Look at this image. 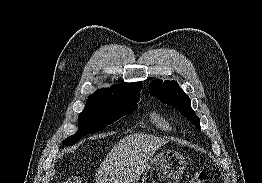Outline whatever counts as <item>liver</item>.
I'll return each instance as SVG.
<instances>
[{
	"label": "liver",
	"mask_w": 262,
	"mask_h": 183,
	"mask_svg": "<svg viewBox=\"0 0 262 183\" xmlns=\"http://www.w3.org/2000/svg\"><path fill=\"white\" fill-rule=\"evenodd\" d=\"M166 143L168 140L153 135H127L100 164L96 183H136L155 151Z\"/></svg>",
	"instance_id": "obj_1"
}]
</instances>
